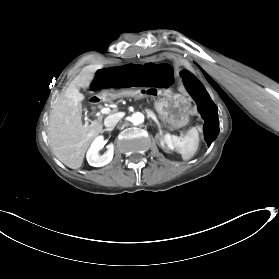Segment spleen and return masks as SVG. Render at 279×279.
Here are the masks:
<instances>
[{"label": "spleen", "instance_id": "obj_1", "mask_svg": "<svg viewBox=\"0 0 279 279\" xmlns=\"http://www.w3.org/2000/svg\"><path fill=\"white\" fill-rule=\"evenodd\" d=\"M199 144L198 132L192 128L183 139L172 137V145L184 160L191 159L197 151Z\"/></svg>", "mask_w": 279, "mask_h": 279}]
</instances>
